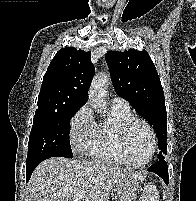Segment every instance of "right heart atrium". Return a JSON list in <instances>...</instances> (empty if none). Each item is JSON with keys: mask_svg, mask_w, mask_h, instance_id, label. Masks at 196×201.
<instances>
[{"mask_svg": "<svg viewBox=\"0 0 196 201\" xmlns=\"http://www.w3.org/2000/svg\"><path fill=\"white\" fill-rule=\"evenodd\" d=\"M96 132V122L88 104L83 105L70 120V140L74 152H88Z\"/></svg>", "mask_w": 196, "mask_h": 201, "instance_id": "obj_1", "label": "right heart atrium"}]
</instances>
